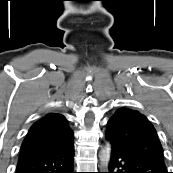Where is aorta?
<instances>
[{
    "label": "aorta",
    "mask_w": 173,
    "mask_h": 173,
    "mask_svg": "<svg viewBox=\"0 0 173 173\" xmlns=\"http://www.w3.org/2000/svg\"><path fill=\"white\" fill-rule=\"evenodd\" d=\"M110 158H111V146L110 144L107 143L100 152V161L102 167L104 168L108 167Z\"/></svg>",
    "instance_id": "1"
}]
</instances>
